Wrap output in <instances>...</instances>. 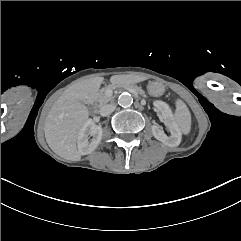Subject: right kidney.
Segmentation results:
<instances>
[{
	"mask_svg": "<svg viewBox=\"0 0 241 241\" xmlns=\"http://www.w3.org/2000/svg\"><path fill=\"white\" fill-rule=\"evenodd\" d=\"M89 136L92 139L89 140ZM102 139V127L96 125L92 119L87 120L77 135L78 151L81 155L92 153Z\"/></svg>",
	"mask_w": 241,
	"mask_h": 241,
	"instance_id": "1",
	"label": "right kidney"
}]
</instances>
